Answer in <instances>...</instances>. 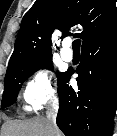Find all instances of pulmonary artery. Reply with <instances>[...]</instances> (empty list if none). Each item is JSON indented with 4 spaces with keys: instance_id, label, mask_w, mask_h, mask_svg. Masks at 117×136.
<instances>
[{
    "instance_id": "e3ab8cb5",
    "label": "pulmonary artery",
    "mask_w": 117,
    "mask_h": 136,
    "mask_svg": "<svg viewBox=\"0 0 117 136\" xmlns=\"http://www.w3.org/2000/svg\"><path fill=\"white\" fill-rule=\"evenodd\" d=\"M70 47V42H65L63 49L61 50V57L63 60L70 62L73 59V52L71 51Z\"/></svg>"
}]
</instances>
